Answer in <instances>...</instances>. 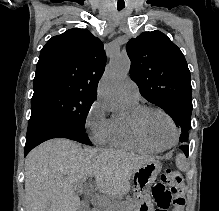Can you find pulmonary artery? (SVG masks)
I'll list each match as a JSON object with an SVG mask.
<instances>
[{
  "label": "pulmonary artery",
  "instance_id": "obj_1",
  "mask_svg": "<svg viewBox=\"0 0 219 211\" xmlns=\"http://www.w3.org/2000/svg\"><path fill=\"white\" fill-rule=\"evenodd\" d=\"M120 95L123 102L137 103L140 98L139 88L131 78L127 77L122 84Z\"/></svg>",
  "mask_w": 219,
  "mask_h": 211
}]
</instances>
